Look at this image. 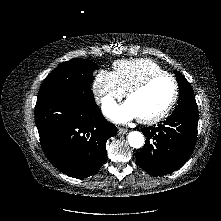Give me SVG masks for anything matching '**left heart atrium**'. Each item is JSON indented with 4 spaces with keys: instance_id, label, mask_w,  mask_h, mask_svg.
Here are the masks:
<instances>
[{
    "instance_id": "left-heart-atrium-1",
    "label": "left heart atrium",
    "mask_w": 221,
    "mask_h": 221,
    "mask_svg": "<svg viewBox=\"0 0 221 221\" xmlns=\"http://www.w3.org/2000/svg\"><path fill=\"white\" fill-rule=\"evenodd\" d=\"M104 112L109 118L118 123H125L138 117L134 108L129 102L121 105L108 103L104 105Z\"/></svg>"
}]
</instances>
